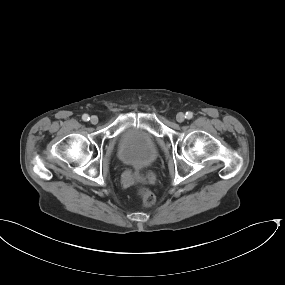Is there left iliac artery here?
<instances>
[{"instance_id":"obj_1","label":"left iliac artery","mask_w":285,"mask_h":285,"mask_svg":"<svg viewBox=\"0 0 285 285\" xmlns=\"http://www.w3.org/2000/svg\"><path fill=\"white\" fill-rule=\"evenodd\" d=\"M192 117H193V113L192 112H186L185 118L190 120V119H192Z\"/></svg>"}]
</instances>
